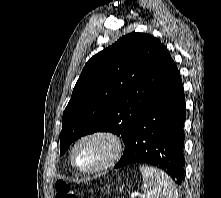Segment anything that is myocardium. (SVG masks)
I'll return each mask as SVG.
<instances>
[{
	"instance_id": "obj_1",
	"label": "myocardium",
	"mask_w": 221,
	"mask_h": 198,
	"mask_svg": "<svg viewBox=\"0 0 221 198\" xmlns=\"http://www.w3.org/2000/svg\"><path fill=\"white\" fill-rule=\"evenodd\" d=\"M92 139H102V140L107 141L110 146L109 154L104 159V161L96 167H93V168L80 167L75 162V152L81 143L87 140H92ZM123 149H124V145H123L122 139L115 132L110 131V130H104V129L93 130V131L87 132L79 136L75 140L70 151V161H71L72 166L78 172L83 173V174H96L112 167L121 157Z\"/></svg>"
}]
</instances>
